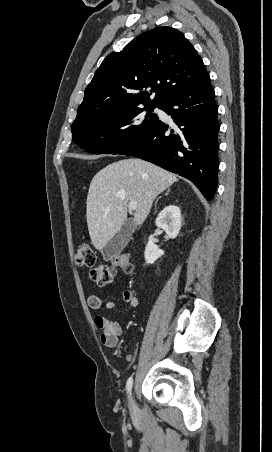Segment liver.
<instances>
[{"instance_id":"1","label":"liver","mask_w":272,"mask_h":452,"mask_svg":"<svg viewBox=\"0 0 272 452\" xmlns=\"http://www.w3.org/2000/svg\"><path fill=\"white\" fill-rule=\"evenodd\" d=\"M176 181L171 172L138 158L119 160L100 170L90 183L86 202L94 247L102 250L121 229L129 202L137 203L133 222L141 225L155 198Z\"/></svg>"}]
</instances>
